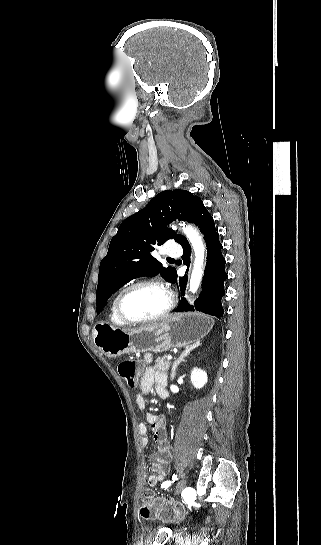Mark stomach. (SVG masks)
I'll use <instances>...</instances> for the list:
<instances>
[{
    "label": "stomach",
    "mask_w": 321,
    "mask_h": 545,
    "mask_svg": "<svg viewBox=\"0 0 321 545\" xmlns=\"http://www.w3.org/2000/svg\"><path fill=\"white\" fill-rule=\"evenodd\" d=\"M214 325L201 313H176L158 325L139 329H115L110 323H96L92 337L103 355L118 357L125 353H163L172 347H186L208 335Z\"/></svg>",
    "instance_id": "obj_1"
}]
</instances>
